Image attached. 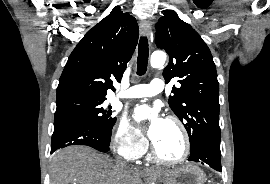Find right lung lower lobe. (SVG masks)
Here are the masks:
<instances>
[{
	"label": "right lung lower lobe",
	"mask_w": 270,
	"mask_h": 184,
	"mask_svg": "<svg viewBox=\"0 0 270 184\" xmlns=\"http://www.w3.org/2000/svg\"><path fill=\"white\" fill-rule=\"evenodd\" d=\"M111 135L77 117H61L54 121L51 154L70 145H86L100 152L110 150Z\"/></svg>",
	"instance_id": "obj_1"
}]
</instances>
